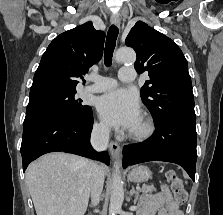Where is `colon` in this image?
Here are the masks:
<instances>
[{"mask_svg":"<svg viewBox=\"0 0 223 215\" xmlns=\"http://www.w3.org/2000/svg\"><path fill=\"white\" fill-rule=\"evenodd\" d=\"M166 178L171 184V188L174 194V198L177 204L182 205L187 200V192L184 189L182 180L177 176L173 170L166 172Z\"/></svg>","mask_w":223,"mask_h":215,"instance_id":"1","label":"colon"}]
</instances>
